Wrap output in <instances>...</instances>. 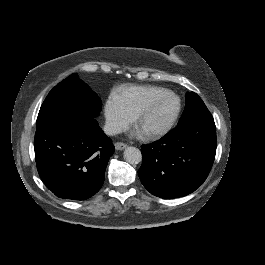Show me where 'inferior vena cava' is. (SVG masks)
Listing matches in <instances>:
<instances>
[{
	"label": "inferior vena cava",
	"mask_w": 265,
	"mask_h": 265,
	"mask_svg": "<svg viewBox=\"0 0 265 265\" xmlns=\"http://www.w3.org/2000/svg\"><path fill=\"white\" fill-rule=\"evenodd\" d=\"M103 130L108 136H115L122 131V126L114 120H107L103 125Z\"/></svg>",
	"instance_id": "obj_1"
}]
</instances>
